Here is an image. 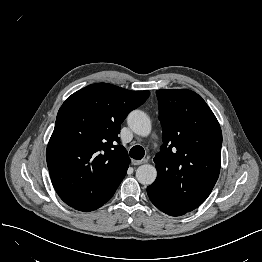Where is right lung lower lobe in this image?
Listing matches in <instances>:
<instances>
[{
  "label": "right lung lower lobe",
  "instance_id": "right-lung-lower-lobe-1",
  "mask_svg": "<svg viewBox=\"0 0 262 262\" xmlns=\"http://www.w3.org/2000/svg\"><path fill=\"white\" fill-rule=\"evenodd\" d=\"M101 206H102V205H101ZM101 206H97V207H93V208L77 209V210L88 212V211H92V210L98 209V208L101 207Z\"/></svg>",
  "mask_w": 262,
  "mask_h": 262
}]
</instances>
